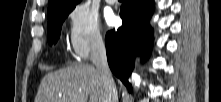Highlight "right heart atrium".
I'll list each match as a JSON object with an SVG mask.
<instances>
[{"mask_svg":"<svg viewBox=\"0 0 221 102\" xmlns=\"http://www.w3.org/2000/svg\"><path fill=\"white\" fill-rule=\"evenodd\" d=\"M68 40L73 55L85 59L104 43L99 19L88 7L78 5L68 16Z\"/></svg>","mask_w":221,"mask_h":102,"instance_id":"obj_1","label":"right heart atrium"}]
</instances>
